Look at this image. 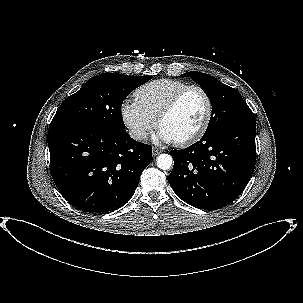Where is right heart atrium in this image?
Masks as SVG:
<instances>
[{
    "label": "right heart atrium",
    "mask_w": 303,
    "mask_h": 303,
    "mask_svg": "<svg viewBox=\"0 0 303 303\" xmlns=\"http://www.w3.org/2000/svg\"><path fill=\"white\" fill-rule=\"evenodd\" d=\"M124 125L136 141H143L156 126V119L151 117L136 99H126L120 107Z\"/></svg>",
    "instance_id": "1"
}]
</instances>
